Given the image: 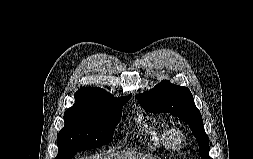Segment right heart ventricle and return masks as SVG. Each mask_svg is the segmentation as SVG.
I'll return each instance as SVG.
<instances>
[{
	"label": "right heart ventricle",
	"mask_w": 253,
	"mask_h": 159,
	"mask_svg": "<svg viewBox=\"0 0 253 159\" xmlns=\"http://www.w3.org/2000/svg\"><path fill=\"white\" fill-rule=\"evenodd\" d=\"M138 136L144 144L152 149L167 148L168 128L160 124L149 122L138 116L136 118Z\"/></svg>",
	"instance_id": "e07e8e85"
}]
</instances>
